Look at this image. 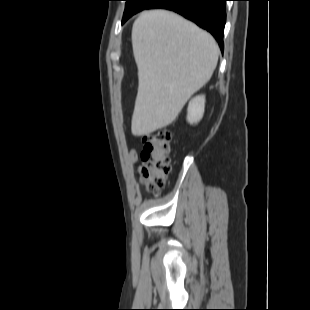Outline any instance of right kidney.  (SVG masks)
<instances>
[{"instance_id":"ca27d5eb","label":"right kidney","mask_w":310,"mask_h":310,"mask_svg":"<svg viewBox=\"0 0 310 310\" xmlns=\"http://www.w3.org/2000/svg\"><path fill=\"white\" fill-rule=\"evenodd\" d=\"M205 97L203 95L192 99L188 106L187 120L190 124L198 123L204 114Z\"/></svg>"}]
</instances>
